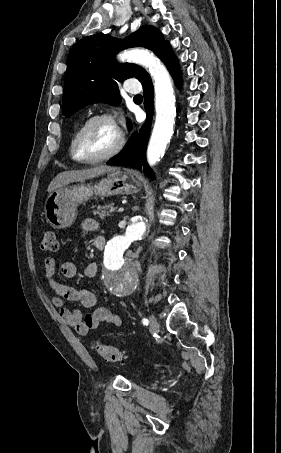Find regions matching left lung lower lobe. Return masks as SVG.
Listing matches in <instances>:
<instances>
[{
	"mask_svg": "<svg viewBox=\"0 0 281 453\" xmlns=\"http://www.w3.org/2000/svg\"><path fill=\"white\" fill-rule=\"evenodd\" d=\"M160 59L167 66L176 84L180 86L181 79L178 60L169 43L164 47ZM141 82L144 89V105L147 111V119L139 133L135 132L124 149L118 155L110 159L107 164L114 166H130L137 169H141L143 165L144 174L149 178L154 179L153 172L146 162V146L153 116V85L149 74L146 75Z\"/></svg>",
	"mask_w": 281,
	"mask_h": 453,
	"instance_id": "0a47b994",
	"label": "left lung lower lobe"
}]
</instances>
